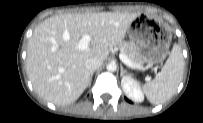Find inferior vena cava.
I'll list each match as a JSON object with an SVG mask.
<instances>
[{"instance_id":"obj_1","label":"inferior vena cava","mask_w":203,"mask_h":123,"mask_svg":"<svg viewBox=\"0 0 203 123\" xmlns=\"http://www.w3.org/2000/svg\"><path fill=\"white\" fill-rule=\"evenodd\" d=\"M103 61L97 58H90L85 61V67L90 71L93 72L99 67H101Z\"/></svg>"}]
</instances>
